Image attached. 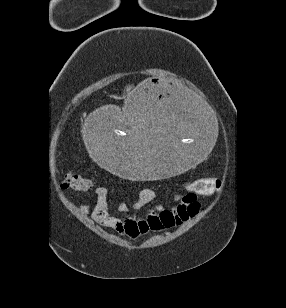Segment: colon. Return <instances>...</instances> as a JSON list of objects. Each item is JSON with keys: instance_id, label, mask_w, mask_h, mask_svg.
Here are the masks:
<instances>
[{"instance_id": "colon-1", "label": "colon", "mask_w": 286, "mask_h": 308, "mask_svg": "<svg viewBox=\"0 0 286 308\" xmlns=\"http://www.w3.org/2000/svg\"><path fill=\"white\" fill-rule=\"evenodd\" d=\"M221 180L218 178H203L192 182V189L200 194H211L221 188ZM92 181L81 174L67 172L62 180V187L76 192H83L90 189Z\"/></svg>"}]
</instances>
